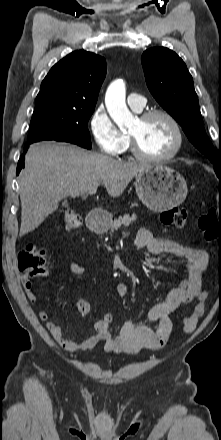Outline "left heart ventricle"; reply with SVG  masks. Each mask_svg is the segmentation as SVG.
I'll return each mask as SVG.
<instances>
[{
	"mask_svg": "<svg viewBox=\"0 0 221 440\" xmlns=\"http://www.w3.org/2000/svg\"><path fill=\"white\" fill-rule=\"evenodd\" d=\"M147 155L162 156L169 153L175 145V133L169 121L156 116L142 121L138 119L130 131Z\"/></svg>",
	"mask_w": 221,
	"mask_h": 440,
	"instance_id": "obj_1",
	"label": "left heart ventricle"
}]
</instances>
